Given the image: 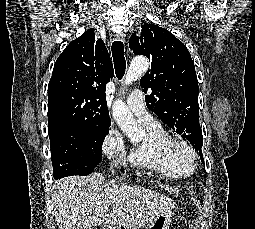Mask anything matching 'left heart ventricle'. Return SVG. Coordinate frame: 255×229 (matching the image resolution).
Listing matches in <instances>:
<instances>
[{
    "label": "left heart ventricle",
    "instance_id": "b2bd125f",
    "mask_svg": "<svg viewBox=\"0 0 255 229\" xmlns=\"http://www.w3.org/2000/svg\"><path fill=\"white\" fill-rule=\"evenodd\" d=\"M171 154L176 161H185L188 159V154L180 146L174 145L170 148Z\"/></svg>",
    "mask_w": 255,
    "mask_h": 229
}]
</instances>
